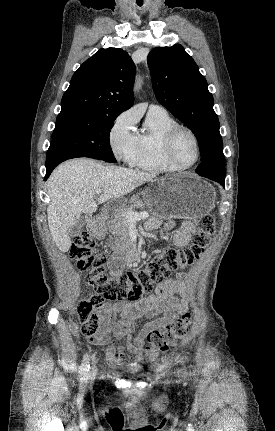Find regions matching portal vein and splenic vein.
<instances>
[{"mask_svg":"<svg viewBox=\"0 0 275 431\" xmlns=\"http://www.w3.org/2000/svg\"><path fill=\"white\" fill-rule=\"evenodd\" d=\"M97 195L101 194L102 191L101 190H97L95 192ZM149 217L148 212L144 211V212H134V211H127L126 213V218L129 221H137L140 219H147Z\"/></svg>","mask_w":275,"mask_h":431,"instance_id":"obj_1","label":"portal vein and splenic vein"}]
</instances>
